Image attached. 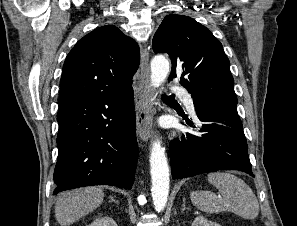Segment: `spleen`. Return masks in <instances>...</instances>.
<instances>
[{"mask_svg": "<svg viewBox=\"0 0 297 226\" xmlns=\"http://www.w3.org/2000/svg\"><path fill=\"white\" fill-rule=\"evenodd\" d=\"M207 179L220 191L222 197L209 191L191 192V201L197 209L206 213L230 211L244 219H255L258 216V200L242 179L228 172L209 173Z\"/></svg>", "mask_w": 297, "mask_h": 226, "instance_id": "spleen-1", "label": "spleen"}]
</instances>
